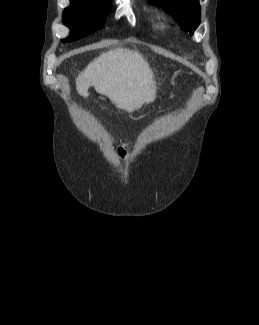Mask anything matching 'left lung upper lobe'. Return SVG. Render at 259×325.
Segmentation results:
<instances>
[{
    "label": "left lung upper lobe",
    "instance_id": "1",
    "mask_svg": "<svg viewBox=\"0 0 259 325\" xmlns=\"http://www.w3.org/2000/svg\"><path fill=\"white\" fill-rule=\"evenodd\" d=\"M160 5L176 19L184 32L193 35L200 24V5L198 0H150Z\"/></svg>",
    "mask_w": 259,
    "mask_h": 325
}]
</instances>
